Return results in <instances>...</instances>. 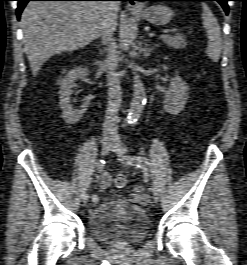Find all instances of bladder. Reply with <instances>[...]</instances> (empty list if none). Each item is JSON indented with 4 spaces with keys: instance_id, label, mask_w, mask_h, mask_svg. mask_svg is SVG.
<instances>
[{
    "instance_id": "31cf9c89",
    "label": "bladder",
    "mask_w": 247,
    "mask_h": 265,
    "mask_svg": "<svg viewBox=\"0 0 247 265\" xmlns=\"http://www.w3.org/2000/svg\"><path fill=\"white\" fill-rule=\"evenodd\" d=\"M91 234L97 241L116 246H132L150 232L143 207L118 200L102 202L89 215Z\"/></svg>"
}]
</instances>
